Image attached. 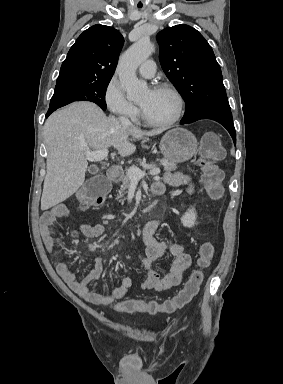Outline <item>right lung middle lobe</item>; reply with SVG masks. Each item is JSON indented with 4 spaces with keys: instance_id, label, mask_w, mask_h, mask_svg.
I'll list each match as a JSON object with an SVG mask.
<instances>
[{
    "instance_id": "obj_1",
    "label": "right lung middle lobe",
    "mask_w": 283,
    "mask_h": 384,
    "mask_svg": "<svg viewBox=\"0 0 283 384\" xmlns=\"http://www.w3.org/2000/svg\"><path fill=\"white\" fill-rule=\"evenodd\" d=\"M109 82L110 80L56 86L49 109L56 110L74 101H91L106 110L105 94Z\"/></svg>"
}]
</instances>
